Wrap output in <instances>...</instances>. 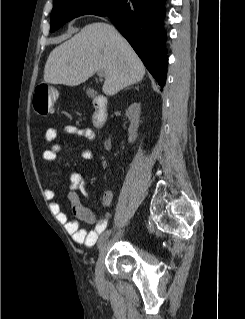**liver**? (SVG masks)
<instances>
[{
    "label": "liver",
    "mask_w": 245,
    "mask_h": 319,
    "mask_svg": "<svg viewBox=\"0 0 245 319\" xmlns=\"http://www.w3.org/2000/svg\"><path fill=\"white\" fill-rule=\"evenodd\" d=\"M102 70L104 94L111 96L140 82L145 67L126 39L114 26L96 22L53 49L44 68V81L78 86Z\"/></svg>",
    "instance_id": "6515ba94"
}]
</instances>
